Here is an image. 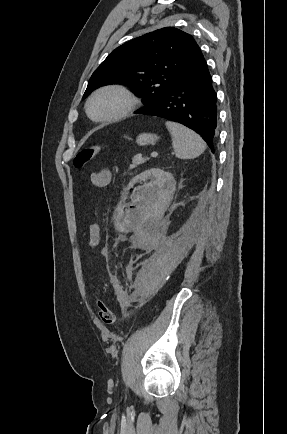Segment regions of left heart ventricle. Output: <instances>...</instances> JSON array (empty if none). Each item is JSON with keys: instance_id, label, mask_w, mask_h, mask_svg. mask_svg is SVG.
Returning <instances> with one entry per match:
<instances>
[{"instance_id": "1", "label": "left heart ventricle", "mask_w": 287, "mask_h": 434, "mask_svg": "<svg viewBox=\"0 0 287 434\" xmlns=\"http://www.w3.org/2000/svg\"><path fill=\"white\" fill-rule=\"evenodd\" d=\"M123 105V99L117 94H105L97 98L92 105L95 116H105L118 111Z\"/></svg>"}]
</instances>
